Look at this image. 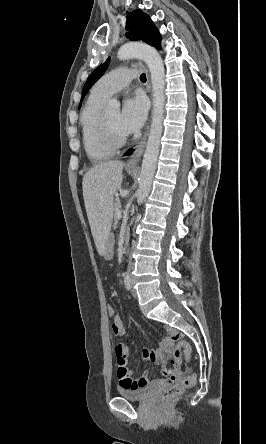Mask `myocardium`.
<instances>
[{
  "label": "myocardium",
  "mask_w": 266,
  "mask_h": 444,
  "mask_svg": "<svg viewBox=\"0 0 266 444\" xmlns=\"http://www.w3.org/2000/svg\"><path fill=\"white\" fill-rule=\"evenodd\" d=\"M98 133L102 142L111 149H119L127 143V135L117 138L111 133L106 118V112H102L100 116Z\"/></svg>",
  "instance_id": "1"
}]
</instances>
